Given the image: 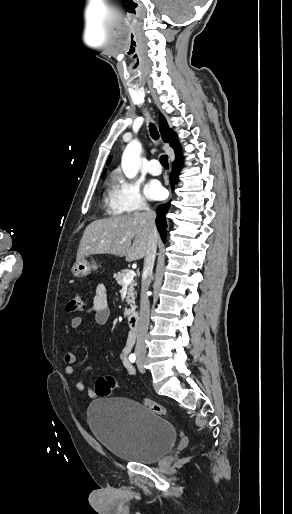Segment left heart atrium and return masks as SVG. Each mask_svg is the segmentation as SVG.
<instances>
[{
  "label": "left heart atrium",
  "instance_id": "39dd6f15",
  "mask_svg": "<svg viewBox=\"0 0 292 514\" xmlns=\"http://www.w3.org/2000/svg\"><path fill=\"white\" fill-rule=\"evenodd\" d=\"M146 194L150 199H160L163 196V188L157 182H151L146 187Z\"/></svg>",
  "mask_w": 292,
  "mask_h": 514
}]
</instances>
